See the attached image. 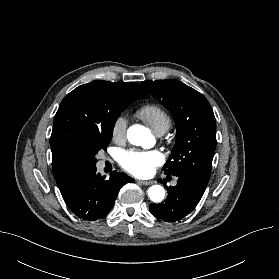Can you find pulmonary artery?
Returning <instances> with one entry per match:
<instances>
[{
    "label": "pulmonary artery",
    "instance_id": "obj_1",
    "mask_svg": "<svg viewBox=\"0 0 279 279\" xmlns=\"http://www.w3.org/2000/svg\"><path fill=\"white\" fill-rule=\"evenodd\" d=\"M164 132H160V133H158L159 135H161V134H163Z\"/></svg>",
    "mask_w": 279,
    "mask_h": 279
}]
</instances>
